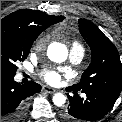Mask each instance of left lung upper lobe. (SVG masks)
Returning <instances> with one entry per match:
<instances>
[{
	"label": "left lung upper lobe",
	"instance_id": "obj_1",
	"mask_svg": "<svg viewBox=\"0 0 122 122\" xmlns=\"http://www.w3.org/2000/svg\"><path fill=\"white\" fill-rule=\"evenodd\" d=\"M79 31L91 48L92 60L75 91H100L119 96L122 88V64L114 44L91 22L79 19Z\"/></svg>",
	"mask_w": 122,
	"mask_h": 122
}]
</instances>
